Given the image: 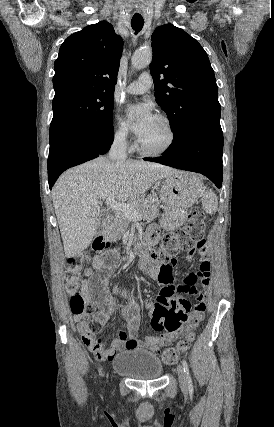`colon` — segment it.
<instances>
[{"label": "colon", "mask_w": 274, "mask_h": 427, "mask_svg": "<svg viewBox=\"0 0 274 427\" xmlns=\"http://www.w3.org/2000/svg\"><path fill=\"white\" fill-rule=\"evenodd\" d=\"M205 213L201 208L193 207L188 212L187 223L177 230L166 234L157 250L160 263L165 260H170L171 254H177L180 251H186L187 248L195 245L196 236L205 235ZM83 262V257L80 255L70 256L66 262V282L70 295V309L73 315L84 313L86 326L83 338L93 332H100L102 324L99 318L92 315V309L89 305L84 304V300L79 291L76 290L79 276L78 271ZM205 311H196L193 317H190L191 323H199L201 318L205 317ZM198 326L197 324L195 325ZM196 335L193 331H189L186 337H181L178 343L177 350L173 347H159L158 355L163 356L164 364H177L179 353L184 350H190L193 345V340ZM83 340V339H82Z\"/></svg>", "instance_id": "colon-1"}]
</instances>
